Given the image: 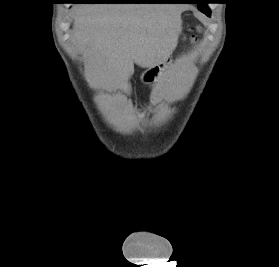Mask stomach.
Wrapping results in <instances>:
<instances>
[{
  "label": "stomach",
  "mask_w": 279,
  "mask_h": 267,
  "mask_svg": "<svg viewBox=\"0 0 279 267\" xmlns=\"http://www.w3.org/2000/svg\"><path fill=\"white\" fill-rule=\"evenodd\" d=\"M170 60H171V53L165 56L161 61L156 63L154 66L145 70L140 76L141 81L144 83H151L157 81L162 76Z\"/></svg>",
  "instance_id": "stomach-1"
}]
</instances>
